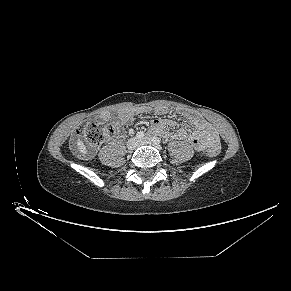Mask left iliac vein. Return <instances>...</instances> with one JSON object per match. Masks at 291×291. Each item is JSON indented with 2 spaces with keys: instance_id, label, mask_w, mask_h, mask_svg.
I'll return each instance as SVG.
<instances>
[{
  "instance_id": "4c4485c4",
  "label": "left iliac vein",
  "mask_w": 291,
  "mask_h": 291,
  "mask_svg": "<svg viewBox=\"0 0 291 291\" xmlns=\"http://www.w3.org/2000/svg\"><path fill=\"white\" fill-rule=\"evenodd\" d=\"M138 145H152L159 150L161 149V146L159 144H155L150 138H143L138 140Z\"/></svg>"
}]
</instances>
